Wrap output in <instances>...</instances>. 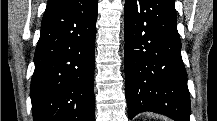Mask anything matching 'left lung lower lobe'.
Masks as SVG:
<instances>
[{"instance_id":"1","label":"left lung lower lobe","mask_w":217,"mask_h":121,"mask_svg":"<svg viewBox=\"0 0 217 121\" xmlns=\"http://www.w3.org/2000/svg\"><path fill=\"white\" fill-rule=\"evenodd\" d=\"M124 26L129 118L153 111L189 121L190 95L174 0H126Z\"/></svg>"}]
</instances>
